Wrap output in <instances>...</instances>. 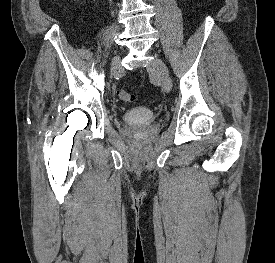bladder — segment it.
Instances as JSON below:
<instances>
[{
  "mask_svg": "<svg viewBox=\"0 0 275 263\" xmlns=\"http://www.w3.org/2000/svg\"><path fill=\"white\" fill-rule=\"evenodd\" d=\"M155 114L145 107H133L126 110L123 114V121L132 126H147L155 120Z\"/></svg>",
  "mask_w": 275,
  "mask_h": 263,
  "instance_id": "1",
  "label": "bladder"
}]
</instances>
